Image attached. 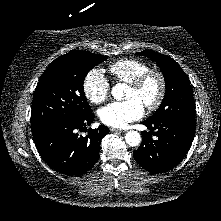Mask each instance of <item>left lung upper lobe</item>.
<instances>
[{"label": "left lung upper lobe", "mask_w": 221, "mask_h": 221, "mask_svg": "<svg viewBox=\"0 0 221 221\" xmlns=\"http://www.w3.org/2000/svg\"><path fill=\"white\" fill-rule=\"evenodd\" d=\"M154 60L165 78L166 93L157 111L147 120H179L195 124V102L190 81L179 64L167 55L145 50L137 53Z\"/></svg>", "instance_id": "left-lung-upper-lobe-1"}]
</instances>
